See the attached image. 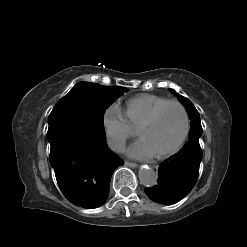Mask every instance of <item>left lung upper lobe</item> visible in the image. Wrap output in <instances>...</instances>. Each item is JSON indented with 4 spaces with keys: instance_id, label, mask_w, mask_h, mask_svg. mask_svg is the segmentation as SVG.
Wrapping results in <instances>:
<instances>
[{
    "instance_id": "obj_1",
    "label": "left lung upper lobe",
    "mask_w": 247,
    "mask_h": 247,
    "mask_svg": "<svg viewBox=\"0 0 247 247\" xmlns=\"http://www.w3.org/2000/svg\"><path fill=\"white\" fill-rule=\"evenodd\" d=\"M171 91L176 96L179 97V100L185 105V107L188 111L189 117L191 119V129L189 132L190 140H192V139L199 140V138L201 137V134H202V126H201V121H200V117H199V112L197 111V109L191 103V101L189 99L179 95L178 93H176L172 89H171Z\"/></svg>"
}]
</instances>
